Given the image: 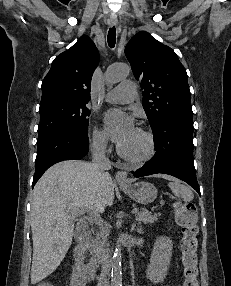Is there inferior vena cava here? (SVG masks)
<instances>
[{
    "instance_id": "1",
    "label": "inferior vena cava",
    "mask_w": 231,
    "mask_h": 286,
    "mask_svg": "<svg viewBox=\"0 0 231 286\" xmlns=\"http://www.w3.org/2000/svg\"><path fill=\"white\" fill-rule=\"evenodd\" d=\"M92 152V162L94 167L102 173L103 177L108 176L109 174L105 171L111 169V162L105 155V144L104 141H95L91 146ZM101 210V212H103ZM102 285L101 286H110L108 280L106 279V266L104 267V273L102 274Z\"/></svg>"
}]
</instances>
